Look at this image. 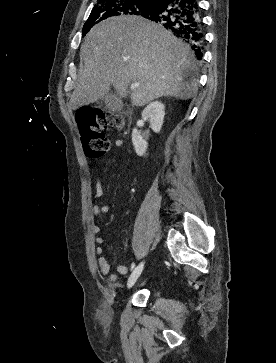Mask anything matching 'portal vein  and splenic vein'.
Returning a JSON list of instances; mask_svg holds the SVG:
<instances>
[{
    "label": "portal vein and splenic vein",
    "mask_w": 276,
    "mask_h": 363,
    "mask_svg": "<svg viewBox=\"0 0 276 363\" xmlns=\"http://www.w3.org/2000/svg\"><path fill=\"white\" fill-rule=\"evenodd\" d=\"M139 86V84H131L130 89L134 90L135 88H137Z\"/></svg>",
    "instance_id": "18ae733b"
}]
</instances>
